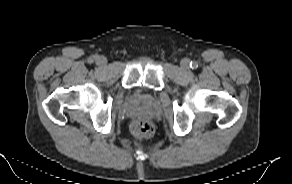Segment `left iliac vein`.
Wrapping results in <instances>:
<instances>
[{
    "instance_id": "obj_1",
    "label": "left iliac vein",
    "mask_w": 292,
    "mask_h": 184,
    "mask_svg": "<svg viewBox=\"0 0 292 184\" xmlns=\"http://www.w3.org/2000/svg\"><path fill=\"white\" fill-rule=\"evenodd\" d=\"M188 66H189V60H188V59H183V60L181 61V67H182L183 69H187Z\"/></svg>"
}]
</instances>
